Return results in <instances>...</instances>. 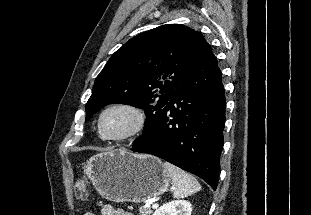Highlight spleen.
<instances>
[{
	"instance_id": "obj_1",
	"label": "spleen",
	"mask_w": 311,
	"mask_h": 215,
	"mask_svg": "<svg viewBox=\"0 0 311 215\" xmlns=\"http://www.w3.org/2000/svg\"><path fill=\"white\" fill-rule=\"evenodd\" d=\"M163 165L172 180L174 198H185L201 189L200 183L191 174L168 162H164Z\"/></svg>"
}]
</instances>
